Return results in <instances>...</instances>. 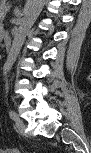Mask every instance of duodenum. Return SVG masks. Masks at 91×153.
Returning <instances> with one entry per match:
<instances>
[{
  "label": "duodenum",
  "instance_id": "duodenum-1",
  "mask_svg": "<svg viewBox=\"0 0 91 153\" xmlns=\"http://www.w3.org/2000/svg\"><path fill=\"white\" fill-rule=\"evenodd\" d=\"M4 42H5V44H6V46L7 47H10V45H11V39L9 38V37H4Z\"/></svg>",
  "mask_w": 91,
  "mask_h": 153
}]
</instances>
